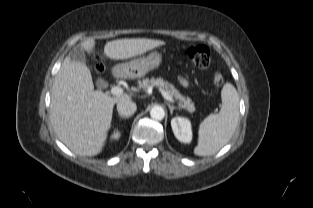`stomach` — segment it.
<instances>
[{"mask_svg": "<svg viewBox=\"0 0 313 208\" xmlns=\"http://www.w3.org/2000/svg\"><path fill=\"white\" fill-rule=\"evenodd\" d=\"M162 63V55L157 51L149 53L146 57L134 59L114 67L115 75L124 78H141L149 71L157 69Z\"/></svg>", "mask_w": 313, "mask_h": 208, "instance_id": "0dacf381", "label": "stomach"}]
</instances>
